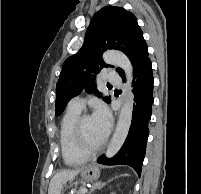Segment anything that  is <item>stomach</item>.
<instances>
[{"label": "stomach", "mask_w": 201, "mask_h": 194, "mask_svg": "<svg viewBox=\"0 0 201 194\" xmlns=\"http://www.w3.org/2000/svg\"><path fill=\"white\" fill-rule=\"evenodd\" d=\"M81 178L84 181H95L99 178L100 176V171L97 165L95 164H89L85 166L82 171H81ZM68 188L67 185H65V189ZM64 194V193H60Z\"/></svg>", "instance_id": "1"}]
</instances>
